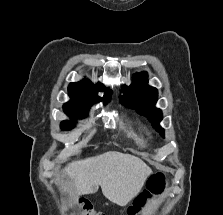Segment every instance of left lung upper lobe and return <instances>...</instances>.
<instances>
[{"label":"left lung upper lobe","instance_id":"obj_1","mask_svg":"<svg viewBox=\"0 0 223 215\" xmlns=\"http://www.w3.org/2000/svg\"><path fill=\"white\" fill-rule=\"evenodd\" d=\"M123 91L124 95L120 96V102L147 117L152 126L164 137V129L159 125L163 118L162 111L154 107L158 91L148 86L147 73L135 74L133 83L129 87H124Z\"/></svg>","mask_w":223,"mask_h":215}]
</instances>
